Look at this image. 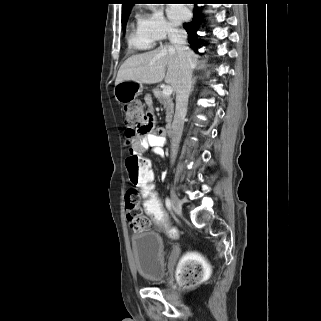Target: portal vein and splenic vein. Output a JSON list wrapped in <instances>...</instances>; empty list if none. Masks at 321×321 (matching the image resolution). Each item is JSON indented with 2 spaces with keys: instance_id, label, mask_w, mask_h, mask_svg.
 Here are the masks:
<instances>
[{
  "instance_id": "18ae733b",
  "label": "portal vein and splenic vein",
  "mask_w": 321,
  "mask_h": 321,
  "mask_svg": "<svg viewBox=\"0 0 321 321\" xmlns=\"http://www.w3.org/2000/svg\"><path fill=\"white\" fill-rule=\"evenodd\" d=\"M172 92H173V89L170 85H166L162 91L163 95H165V96H170L172 94Z\"/></svg>"
}]
</instances>
